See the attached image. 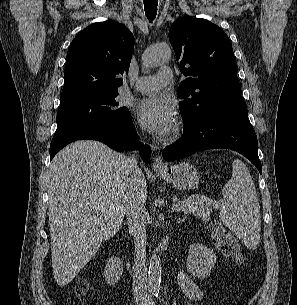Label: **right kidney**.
Segmentation results:
<instances>
[{
  "mask_svg": "<svg viewBox=\"0 0 297 305\" xmlns=\"http://www.w3.org/2000/svg\"><path fill=\"white\" fill-rule=\"evenodd\" d=\"M122 272H123L122 261L117 257L110 258L104 269L105 281L109 285L116 284L119 281Z\"/></svg>",
  "mask_w": 297,
  "mask_h": 305,
  "instance_id": "ca27d5eb",
  "label": "right kidney"
}]
</instances>
